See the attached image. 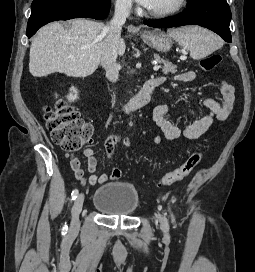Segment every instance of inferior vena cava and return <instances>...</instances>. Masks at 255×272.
Segmentation results:
<instances>
[{"mask_svg":"<svg viewBox=\"0 0 255 272\" xmlns=\"http://www.w3.org/2000/svg\"><path fill=\"white\" fill-rule=\"evenodd\" d=\"M131 2L129 0H117L113 19L106 26V41L101 56V65L106 71V77L111 82L119 78L120 65L117 63L118 45L121 40V29L130 15Z\"/></svg>","mask_w":255,"mask_h":272,"instance_id":"1","label":"inferior vena cava"}]
</instances>
